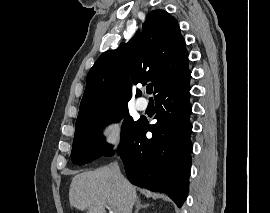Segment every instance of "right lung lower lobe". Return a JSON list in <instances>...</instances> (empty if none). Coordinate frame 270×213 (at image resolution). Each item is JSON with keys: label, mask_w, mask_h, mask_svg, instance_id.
I'll list each match as a JSON object with an SVG mask.
<instances>
[{"label": "right lung lower lobe", "mask_w": 270, "mask_h": 213, "mask_svg": "<svg viewBox=\"0 0 270 213\" xmlns=\"http://www.w3.org/2000/svg\"><path fill=\"white\" fill-rule=\"evenodd\" d=\"M190 74L188 69L156 94L157 123L149 125L147 120H138L119 145L129 181L139 187L165 192L178 207L182 206L189 190ZM148 131L153 134L150 139L146 137ZM110 155L113 151L105 156Z\"/></svg>", "instance_id": "98d812e1"}]
</instances>
